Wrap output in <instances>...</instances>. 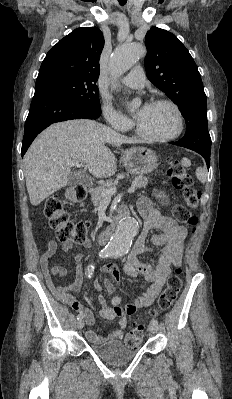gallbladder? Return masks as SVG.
Masks as SVG:
<instances>
[{
    "label": "gallbladder",
    "mask_w": 232,
    "mask_h": 399,
    "mask_svg": "<svg viewBox=\"0 0 232 399\" xmlns=\"http://www.w3.org/2000/svg\"><path fill=\"white\" fill-rule=\"evenodd\" d=\"M79 172H80V173H83V172H84V169H83V168H80V169H79ZM68 182H69V186H71V188H73V186H78L79 180H78L76 174H69V176H68Z\"/></svg>",
    "instance_id": "obj_1"
}]
</instances>
